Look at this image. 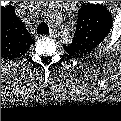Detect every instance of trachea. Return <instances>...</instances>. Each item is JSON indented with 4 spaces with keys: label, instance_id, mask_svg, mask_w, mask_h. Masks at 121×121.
Segmentation results:
<instances>
[{
    "label": "trachea",
    "instance_id": "3493384b",
    "mask_svg": "<svg viewBox=\"0 0 121 121\" xmlns=\"http://www.w3.org/2000/svg\"><path fill=\"white\" fill-rule=\"evenodd\" d=\"M49 32V27L46 23H41L39 24L38 28H37V33L38 34H46Z\"/></svg>",
    "mask_w": 121,
    "mask_h": 121
}]
</instances>
